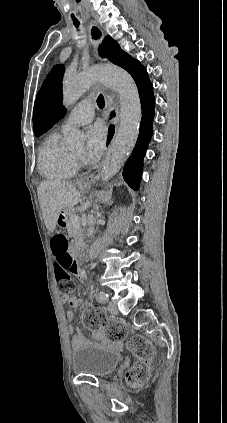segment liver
I'll use <instances>...</instances> for the list:
<instances>
[{
    "mask_svg": "<svg viewBox=\"0 0 227 423\" xmlns=\"http://www.w3.org/2000/svg\"><path fill=\"white\" fill-rule=\"evenodd\" d=\"M37 192L43 219L49 231H54L60 211L63 208H74L81 198L75 186L52 180H43Z\"/></svg>",
    "mask_w": 227,
    "mask_h": 423,
    "instance_id": "liver-1",
    "label": "liver"
}]
</instances>
